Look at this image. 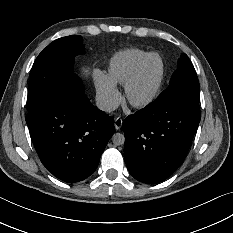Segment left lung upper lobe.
Returning a JSON list of instances; mask_svg holds the SVG:
<instances>
[{
    "instance_id": "5c2ea615",
    "label": "left lung upper lobe",
    "mask_w": 233,
    "mask_h": 233,
    "mask_svg": "<svg viewBox=\"0 0 233 233\" xmlns=\"http://www.w3.org/2000/svg\"><path fill=\"white\" fill-rule=\"evenodd\" d=\"M199 92V81L193 64L186 54H182L168 88L158 96L155 102L199 104Z\"/></svg>"
}]
</instances>
